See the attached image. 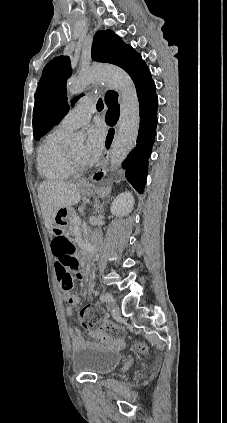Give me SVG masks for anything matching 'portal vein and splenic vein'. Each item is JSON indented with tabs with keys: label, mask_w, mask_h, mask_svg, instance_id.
I'll return each mask as SVG.
<instances>
[{
	"label": "portal vein and splenic vein",
	"mask_w": 227,
	"mask_h": 423,
	"mask_svg": "<svg viewBox=\"0 0 227 423\" xmlns=\"http://www.w3.org/2000/svg\"><path fill=\"white\" fill-rule=\"evenodd\" d=\"M74 221H77V223H80L81 217H79V215H76V217H74Z\"/></svg>",
	"instance_id": "18ae733b"
}]
</instances>
